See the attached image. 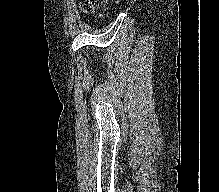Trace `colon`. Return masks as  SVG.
<instances>
[{
    "label": "colon",
    "instance_id": "1",
    "mask_svg": "<svg viewBox=\"0 0 219 192\" xmlns=\"http://www.w3.org/2000/svg\"><path fill=\"white\" fill-rule=\"evenodd\" d=\"M107 8L106 0H85L82 3V12L86 15H94Z\"/></svg>",
    "mask_w": 219,
    "mask_h": 192
}]
</instances>
